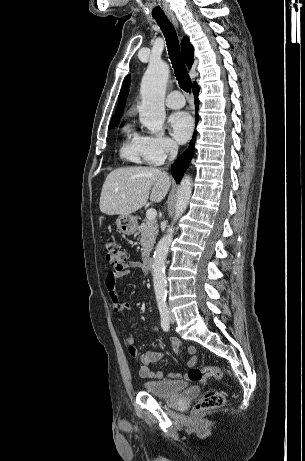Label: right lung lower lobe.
Returning a JSON list of instances; mask_svg holds the SVG:
<instances>
[{
	"instance_id": "98d812e1",
	"label": "right lung lower lobe",
	"mask_w": 305,
	"mask_h": 461,
	"mask_svg": "<svg viewBox=\"0 0 305 461\" xmlns=\"http://www.w3.org/2000/svg\"><path fill=\"white\" fill-rule=\"evenodd\" d=\"M193 93L195 95V108H196V120H198V106H199V101H198V93H199V87L197 83L193 84ZM194 140H195V133L193 136V139L187 148V150L172 164L171 167V172L176 180L177 183H179L183 177L184 172L189 166L190 160L194 154L195 148H194Z\"/></svg>"
}]
</instances>
